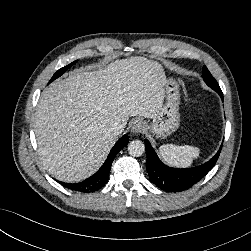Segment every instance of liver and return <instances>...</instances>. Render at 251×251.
Listing matches in <instances>:
<instances>
[{
  "label": "liver",
  "mask_w": 251,
  "mask_h": 251,
  "mask_svg": "<svg viewBox=\"0 0 251 251\" xmlns=\"http://www.w3.org/2000/svg\"><path fill=\"white\" fill-rule=\"evenodd\" d=\"M166 76L161 64L140 56L115 60L98 71L74 70L46 88L34 131L45 169L56 179L79 182L105 161L130 116L154 119L163 106Z\"/></svg>",
  "instance_id": "liver-1"
}]
</instances>
